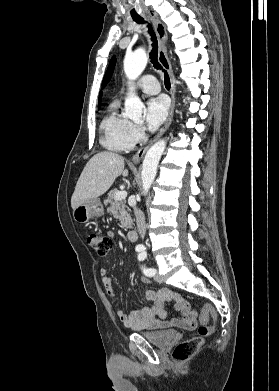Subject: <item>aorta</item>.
Instances as JSON below:
<instances>
[{"instance_id": "1", "label": "aorta", "mask_w": 279, "mask_h": 391, "mask_svg": "<svg viewBox=\"0 0 279 391\" xmlns=\"http://www.w3.org/2000/svg\"><path fill=\"white\" fill-rule=\"evenodd\" d=\"M147 64L146 51L138 48L134 52L127 54L124 59V72L129 80L137 79ZM144 104L132 92L125 100V115L132 120H140ZM166 148V140L161 139L154 143L146 152L141 172L143 193L146 195L157 174V168L161 156Z\"/></svg>"}]
</instances>
